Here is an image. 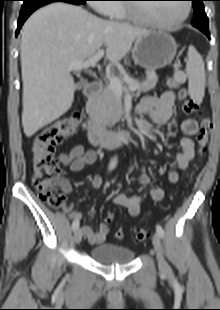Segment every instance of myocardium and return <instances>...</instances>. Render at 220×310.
I'll return each mask as SVG.
<instances>
[{
  "label": "myocardium",
  "instance_id": "f54148a6",
  "mask_svg": "<svg viewBox=\"0 0 220 310\" xmlns=\"http://www.w3.org/2000/svg\"><path fill=\"white\" fill-rule=\"evenodd\" d=\"M125 10H126L127 16L136 23L148 25V26L158 28V29L167 30V29L175 28L186 21V19L188 18L190 14V4L188 2H184V13L182 14V16L176 19L175 21L167 22V23L158 21L151 17L140 16L139 11L134 5H126Z\"/></svg>",
  "mask_w": 220,
  "mask_h": 310
}]
</instances>
